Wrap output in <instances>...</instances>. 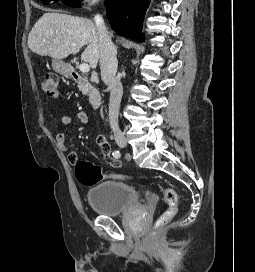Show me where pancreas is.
<instances>
[{"label":"pancreas","instance_id":"cf45deb5","mask_svg":"<svg viewBox=\"0 0 255 272\" xmlns=\"http://www.w3.org/2000/svg\"><path fill=\"white\" fill-rule=\"evenodd\" d=\"M78 88H79V90L82 91L83 93H86V92H87V89H86V87H85L83 84H79V85H78Z\"/></svg>","mask_w":255,"mask_h":272}]
</instances>
